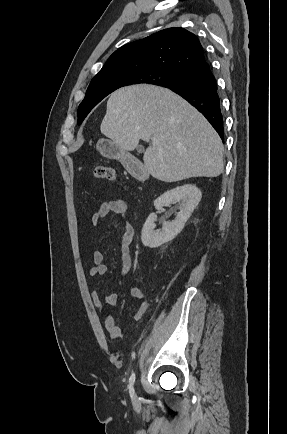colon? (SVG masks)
<instances>
[{
	"mask_svg": "<svg viewBox=\"0 0 287 434\" xmlns=\"http://www.w3.org/2000/svg\"><path fill=\"white\" fill-rule=\"evenodd\" d=\"M94 175L99 180L112 181L116 178L114 169L108 165H97L94 168Z\"/></svg>",
	"mask_w": 287,
	"mask_h": 434,
	"instance_id": "obj_1",
	"label": "colon"
}]
</instances>
